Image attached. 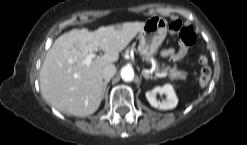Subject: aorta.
Segmentation results:
<instances>
[{
	"label": "aorta",
	"instance_id": "aorta-1",
	"mask_svg": "<svg viewBox=\"0 0 247 145\" xmlns=\"http://www.w3.org/2000/svg\"><path fill=\"white\" fill-rule=\"evenodd\" d=\"M121 78L126 82L132 81L134 78V70L132 69V67L124 66L121 69Z\"/></svg>",
	"mask_w": 247,
	"mask_h": 145
}]
</instances>
